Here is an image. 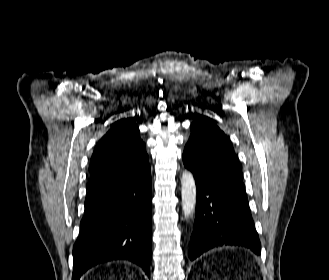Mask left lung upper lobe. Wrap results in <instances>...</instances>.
Segmentation results:
<instances>
[{"label": "left lung upper lobe", "instance_id": "5c2ea615", "mask_svg": "<svg viewBox=\"0 0 329 280\" xmlns=\"http://www.w3.org/2000/svg\"><path fill=\"white\" fill-rule=\"evenodd\" d=\"M183 162L195 175L209 184L222 183L227 166L240 168L229 139L204 116H198L191 124V136L185 146Z\"/></svg>", "mask_w": 329, "mask_h": 280}]
</instances>
